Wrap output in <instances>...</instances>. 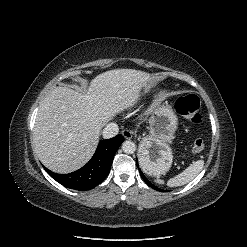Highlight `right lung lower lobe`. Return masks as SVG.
<instances>
[{"label":"right lung lower lobe","instance_id":"right-lung-lower-lobe-1","mask_svg":"<svg viewBox=\"0 0 247 247\" xmlns=\"http://www.w3.org/2000/svg\"><path fill=\"white\" fill-rule=\"evenodd\" d=\"M123 141L121 135L101 141L91 160L72 173L56 174L47 168L45 170L54 180L67 188L80 191L92 189L109 174L114 155Z\"/></svg>","mask_w":247,"mask_h":247}]
</instances>
